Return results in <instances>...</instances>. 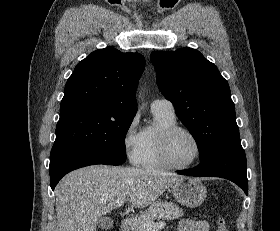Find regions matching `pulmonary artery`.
Returning a JSON list of instances; mask_svg holds the SVG:
<instances>
[{"instance_id":"pulmonary-artery-1","label":"pulmonary artery","mask_w":280,"mask_h":231,"mask_svg":"<svg viewBox=\"0 0 280 231\" xmlns=\"http://www.w3.org/2000/svg\"><path fill=\"white\" fill-rule=\"evenodd\" d=\"M151 111L170 116H175V109L171 101L167 99H156L151 103Z\"/></svg>"}]
</instances>
